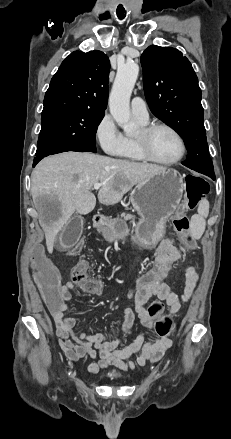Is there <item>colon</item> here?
<instances>
[{"instance_id":"obj_1","label":"colon","mask_w":231,"mask_h":439,"mask_svg":"<svg viewBox=\"0 0 231 439\" xmlns=\"http://www.w3.org/2000/svg\"><path fill=\"white\" fill-rule=\"evenodd\" d=\"M186 198L180 211L173 220V226L179 234L181 242L188 248H194V239L190 231V221L184 210H192L206 196L209 191L208 183L197 176L187 175L185 177ZM85 241V238H81ZM81 241H76L75 246L71 249L76 253L83 246ZM35 260L30 261V266L35 267V285H39L40 294L47 306L49 313H58L61 308V295L57 293L59 283L62 282V275L51 267L49 255H46V248L39 245L34 251ZM181 257L179 255L161 258L160 261L153 262L149 268L142 270L141 276L133 283L132 288L126 292L129 298L134 296V291L142 283H169L166 282L167 273L173 272V265L179 264ZM72 280L83 290L98 294L104 290L103 283L96 278L88 276V265L85 261L78 262L72 269ZM174 330V323L169 315L158 318L154 324V331L160 338H168Z\"/></svg>"}]
</instances>
